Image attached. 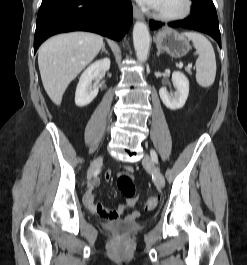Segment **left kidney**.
<instances>
[{
    "mask_svg": "<svg viewBox=\"0 0 247 265\" xmlns=\"http://www.w3.org/2000/svg\"><path fill=\"white\" fill-rule=\"evenodd\" d=\"M173 84L177 88V92L174 96H171L165 88L159 90V95L164 105L170 110L181 109L189 94V81L187 77L178 71L172 74Z\"/></svg>",
    "mask_w": 247,
    "mask_h": 265,
    "instance_id": "obj_1",
    "label": "left kidney"
}]
</instances>
